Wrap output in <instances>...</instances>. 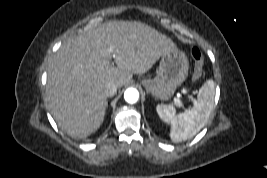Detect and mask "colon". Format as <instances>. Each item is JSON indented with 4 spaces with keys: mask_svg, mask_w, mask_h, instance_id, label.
Here are the masks:
<instances>
[{
    "mask_svg": "<svg viewBox=\"0 0 267 178\" xmlns=\"http://www.w3.org/2000/svg\"><path fill=\"white\" fill-rule=\"evenodd\" d=\"M191 59L194 63L193 78L198 80L203 74L204 57L198 47H193L190 51Z\"/></svg>",
    "mask_w": 267,
    "mask_h": 178,
    "instance_id": "colon-1",
    "label": "colon"
}]
</instances>
